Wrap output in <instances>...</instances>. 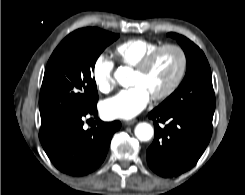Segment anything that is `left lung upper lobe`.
I'll use <instances>...</instances> for the list:
<instances>
[{
    "mask_svg": "<svg viewBox=\"0 0 245 195\" xmlns=\"http://www.w3.org/2000/svg\"><path fill=\"white\" fill-rule=\"evenodd\" d=\"M168 36L175 38L184 50L187 71L179 88L158 107L214 112L215 95L211 70L204 53L182 35L169 33Z\"/></svg>",
    "mask_w": 245,
    "mask_h": 195,
    "instance_id": "5c2ea615",
    "label": "left lung upper lobe"
}]
</instances>
